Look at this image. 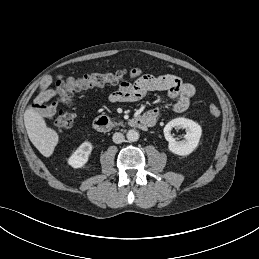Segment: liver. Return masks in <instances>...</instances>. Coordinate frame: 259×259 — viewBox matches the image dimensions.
<instances>
[{
    "mask_svg": "<svg viewBox=\"0 0 259 259\" xmlns=\"http://www.w3.org/2000/svg\"><path fill=\"white\" fill-rule=\"evenodd\" d=\"M24 124L33 145L43 156L50 157L58 144V133L48 127L43 116L34 109L25 111Z\"/></svg>",
    "mask_w": 259,
    "mask_h": 259,
    "instance_id": "obj_1",
    "label": "liver"
}]
</instances>
